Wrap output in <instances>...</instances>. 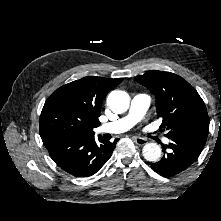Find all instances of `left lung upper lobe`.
Returning <instances> with one entry per match:
<instances>
[{
	"mask_svg": "<svg viewBox=\"0 0 221 221\" xmlns=\"http://www.w3.org/2000/svg\"><path fill=\"white\" fill-rule=\"evenodd\" d=\"M156 97V108L162 117L161 131L169 139L197 132L208 133L209 117L197 91L180 76L152 70L135 77Z\"/></svg>",
	"mask_w": 221,
	"mask_h": 221,
	"instance_id": "1",
	"label": "left lung upper lobe"
}]
</instances>
